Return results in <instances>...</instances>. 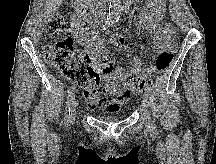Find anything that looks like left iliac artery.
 I'll list each match as a JSON object with an SVG mask.
<instances>
[{
    "label": "left iliac artery",
    "mask_w": 216,
    "mask_h": 164,
    "mask_svg": "<svg viewBox=\"0 0 216 164\" xmlns=\"http://www.w3.org/2000/svg\"><path fill=\"white\" fill-rule=\"evenodd\" d=\"M118 20H119V18H118L116 21H118ZM145 90L148 91V92L150 93L151 90H152V88L147 84ZM151 127H152L153 130H156V126H155V124H152Z\"/></svg>",
    "instance_id": "obj_1"
}]
</instances>
